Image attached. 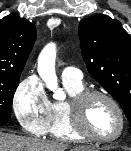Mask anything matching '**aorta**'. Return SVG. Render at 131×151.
I'll return each mask as SVG.
<instances>
[{
    "mask_svg": "<svg viewBox=\"0 0 131 151\" xmlns=\"http://www.w3.org/2000/svg\"><path fill=\"white\" fill-rule=\"evenodd\" d=\"M38 73L47 87L57 93V77L55 72V49L49 45L43 49L38 59ZM57 97V95H55Z\"/></svg>",
    "mask_w": 131,
    "mask_h": 151,
    "instance_id": "obj_1",
    "label": "aorta"
}]
</instances>
